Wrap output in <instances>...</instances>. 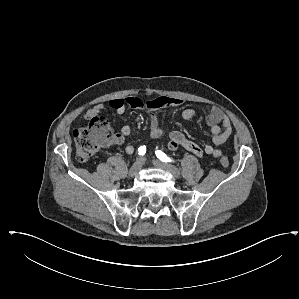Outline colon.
I'll list each match as a JSON object with an SVG mask.
<instances>
[{
	"label": "colon",
	"mask_w": 299,
	"mask_h": 299,
	"mask_svg": "<svg viewBox=\"0 0 299 299\" xmlns=\"http://www.w3.org/2000/svg\"><path fill=\"white\" fill-rule=\"evenodd\" d=\"M116 135L112 132L110 124L102 116H94L89 119L85 127L73 131L76 157L80 162H86L92 158L100 149L111 145ZM223 167L229 166L226 156L220 158Z\"/></svg>",
	"instance_id": "obj_1"
}]
</instances>
